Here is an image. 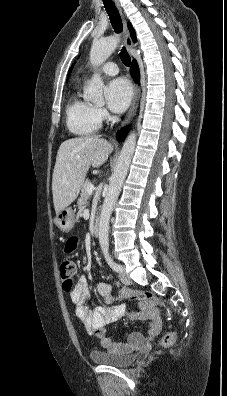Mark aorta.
Wrapping results in <instances>:
<instances>
[{"mask_svg":"<svg viewBox=\"0 0 227 396\" xmlns=\"http://www.w3.org/2000/svg\"><path fill=\"white\" fill-rule=\"evenodd\" d=\"M118 42L119 39L115 36L95 40L90 51V62L92 65L99 66L104 63L114 52L118 46ZM102 89L103 81L101 77L98 74H94L88 87L84 90V98L92 101L93 103H101L103 101ZM136 136V133L133 131L126 138L116 162L114 172L110 178L108 191L104 199L99 220V243L103 252H107L109 249V220L123 182L128 173L135 150Z\"/></svg>","mask_w":227,"mask_h":396,"instance_id":"762f6f07","label":"aorta"}]
</instances>
